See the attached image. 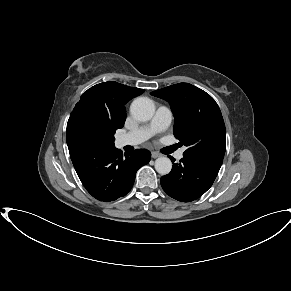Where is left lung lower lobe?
I'll use <instances>...</instances> for the list:
<instances>
[{"label": "left lung lower lobe", "instance_id": "obj_1", "mask_svg": "<svg viewBox=\"0 0 291 291\" xmlns=\"http://www.w3.org/2000/svg\"><path fill=\"white\" fill-rule=\"evenodd\" d=\"M171 159L173 163L175 160ZM220 167L183 157L180 163L173 164L169 174L161 177L160 183L170 197L190 202L201 197L212 186Z\"/></svg>", "mask_w": 291, "mask_h": 291}]
</instances>
